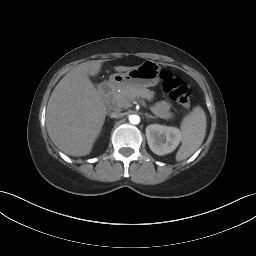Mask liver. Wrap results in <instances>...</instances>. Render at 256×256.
Segmentation results:
<instances>
[{
	"mask_svg": "<svg viewBox=\"0 0 256 256\" xmlns=\"http://www.w3.org/2000/svg\"><path fill=\"white\" fill-rule=\"evenodd\" d=\"M100 61H89L68 72L54 88L47 105L46 128L56 147L67 155H88L100 134L107 114L104 100L89 76L101 69ZM135 67L116 66L127 72Z\"/></svg>",
	"mask_w": 256,
	"mask_h": 256,
	"instance_id": "liver-1",
	"label": "liver"
}]
</instances>
